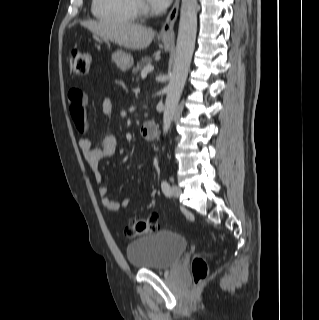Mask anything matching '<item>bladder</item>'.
<instances>
[{"label":"bladder","instance_id":"1","mask_svg":"<svg viewBox=\"0 0 319 320\" xmlns=\"http://www.w3.org/2000/svg\"><path fill=\"white\" fill-rule=\"evenodd\" d=\"M188 247L185 238L173 231L145 234L126 247L130 265L139 270H165L176 265Z\"/></svg>","mask_w":319,"mask_h":320}]
</instances>
